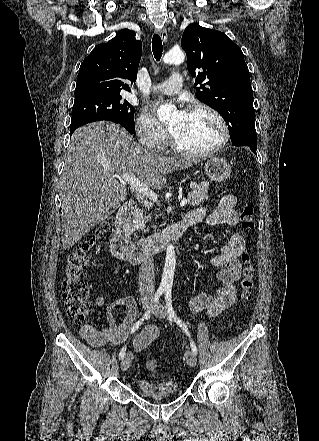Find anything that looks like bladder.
Returning a JSON list of instances; mask_svg holds the SVG:
<instances>
[{
  "label": "bladder",
  "instance_id": "1",
  "mask_svg": "<svg viewBox=\"0 0 319 441\" xmlns=\"http://www.w3.org/2000/svg\"><path fill=\"white\" fill-rule=\"evenodd\" d=\"M137 390L141 396L148 398L173 397L178 393V384L171 379L141 378L137 382Z\"/></svg>",
  "mask_w": 319,
  "mask_h": 441
}]
</instances>
